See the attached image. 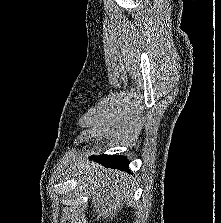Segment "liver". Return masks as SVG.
Listing matches in <instances>:
<instances>
[{
  "mask_svg": "<svg viewBox=\"0 0 221 223\" xmlns=\"http://www.w3.org/2000/svg\"><path fill=\"white\" fill-rule=\"evenodd\" d=\"M80 181L92 198L93 210L100 219L113 220L132 195V179L124 172L107 169L94 162L78 165Z\"/></svg>",
  "mask_w": 221,
  "mask_h": 223,
  "instance_id": "6515ba94",
  "label": "liver"
}]
</instances>
